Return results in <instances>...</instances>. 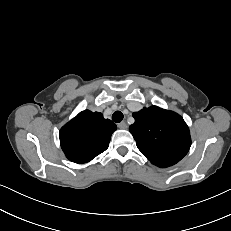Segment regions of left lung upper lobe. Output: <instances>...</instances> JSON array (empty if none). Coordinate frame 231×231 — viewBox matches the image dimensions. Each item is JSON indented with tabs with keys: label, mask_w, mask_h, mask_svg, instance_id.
I'll use <instances>...</instances> for the list:
<instances>
[{
	"label": "left lung upper lobe",
	"mask_w": 231,
	"mask_h": 231,
	"mask_svg": "<svg viewBox=\"0 0 231 231\" xmlns=\"http://www.w3.org/2000/svg\"><path fill=\"white\" fill-rule=\"evenodd\" d=\"M135 123L129 127L138 149L158 167L178 163L189 151L191 137L183 118L157 106L134 112Z\"/></svg>",
	"instance_id": "left-lung-upper-lobe-1"
}]
</instances>
